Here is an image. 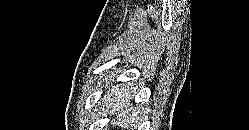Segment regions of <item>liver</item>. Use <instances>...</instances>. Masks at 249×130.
<instances>
[{"label": "liver", "mask_w": 249, "mask_h": 130, "mask_svg": "<svg viewBox=\"0 0 249 130\" xmlns=\"http://www.w3.org/2000/svg\"><path fill=\"white\" fill-rule=\"evenodd\" d=\"M129 84L125 83L120 86L109 87L106 82L107 91L103 98L97 103L105 115L118 114L116 119L112 120L113 125H117L121 130H133L136 128L137 115L139 107H130V100L133 98V91L129 90Z\"/></svg>", "instance_id": "obj_1"}]
</instances>
